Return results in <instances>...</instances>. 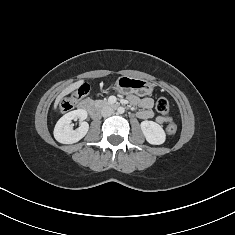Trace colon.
I'll list each match as a JSON object with an SVG mask.
<instances>
[{
    "instance_id": "colon-1",
    "label": "colon",
    "mask_w": 235,
    "mask_h": 235,
    "mask_svg": "<svg viewBox=\"0 0 235 235\" xmlns=\"http://www.w3.org/2000/svg\"><path fill=\"white\" fill-rule=\"evenodd\" d=\"M89 89L90 88L87 84H83L82 86H80L78 90H76L73 94H71L69 97L65 98L61 102L60 111L68 112L72 110L80 100L88 95ZM156 109L161 115H168L170 110L168 99H166L165 97L158 98L156 101ZM166 132L168 135H174L177 132V125L174 123L169 124L166 128Z\"/></svg>"
}]
</instances>
